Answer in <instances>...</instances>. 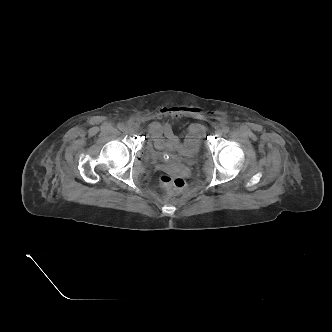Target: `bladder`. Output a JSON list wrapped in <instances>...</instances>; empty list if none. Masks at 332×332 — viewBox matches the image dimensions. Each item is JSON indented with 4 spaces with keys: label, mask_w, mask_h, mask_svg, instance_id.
I'll return each mask as SVG.
<instances>
[{
    "label": "bladder",
    "mask_w": 332,
    "mask_h": 332,
    "mask_svg": "<svg viewBox=\"0 0 332 332\" xmlns=\"http://www.w3.org/2000/svg\"><path fill=\"white\" fill-rule=\"evenodd\" d=\"M177 151H178L180 158L190 161V160H194L195 158L198 157V155L201 151V145L199 143L193 147L184 146V147H182V149L177 150ZM151 154L156 159L161 158V155H159V154H156V153H151Z\"/></svg>",
    "instance_id": "obj_1"
}]
</instances>
